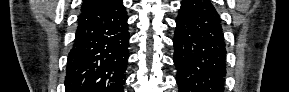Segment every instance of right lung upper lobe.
<instances>
[{"mask_svg": "<svg viewBox=\"0 0 289 92\" xmlns=\"http://www.w3.org/2000/svg\"><path fill=\"white\" fill-rule=\"evenodd\" d=\"M113 0H84L81 11L99 8L111 3Z\"/></svg>", "mask_w": 289, "mask_h": 92, "instance_id": "cb5924a9", "label": "right lung upper lobe"}]
</instances>
